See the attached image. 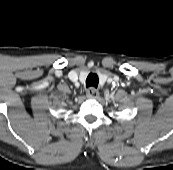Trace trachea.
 I'll use <instances>...</instances> for the list:
<instances>
[{
  "label": "trachea",
  "mask_w": 173,
  "mask_h": 170,
  "mask_svg": "<svg viewBox=\"0 0 173 170\" xmlns=\"http://www.w3.org/2000/svg\"><path fill=\"white\" fill-rule=\"evenodd\" d=\"M98 83H99V79H98L97 74L90 73L87 76V79H86V87H94V88H97Z\"/></svg>",
  "instance_id": "1"
}]
</instances>
